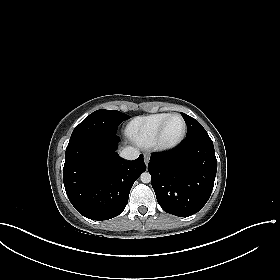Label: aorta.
<instances>
[{"label": "aorta", "instance_id": "762f6f07", "mask_svg": "<svg viewBox=\"0 0 280 280\" xmlns=\"http://www.w3.org/2000/svg\"><path fill=\"white\" fill-rule=\"evenodd\" d=\"M140 179L143 183L151 182V175L149 172H144L141 174Z\"/></svg>", "mask_w": 280, "mask_h": 280}]
</instances>
